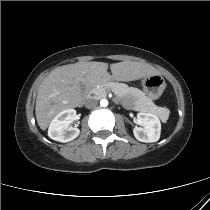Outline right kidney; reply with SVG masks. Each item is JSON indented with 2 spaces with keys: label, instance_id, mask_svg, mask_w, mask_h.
Masks as SVG:
<instances>
[{
  "label": "right kidney",
  "instance_id": "right-kidney-1",
  "mask_svg": "<svg viewBox=\"0 0 210 210\" xmlns=\"http://www.w3.org/2000/svg\"><path fill=\"white\" fill-rule=\"evenodd\" d=\"M76 111L66 109L57 114L51 121L48 136L59 142H69L77 138L80 130L76 127H69V124L75 120Z\"/></svg>",
  "mask_w": 210,
  "mask_h": 210
}]
</instances>
